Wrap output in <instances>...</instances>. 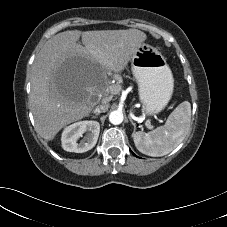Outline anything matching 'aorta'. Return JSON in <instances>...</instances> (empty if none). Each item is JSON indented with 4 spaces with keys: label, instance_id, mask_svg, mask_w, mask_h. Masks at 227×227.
<instances>
[{
    "label": "aorta",
    "instance_id": "obj_1",
    "mask_svg": "<svg viewBox=\"0 0 227 227\" xmlns=\"http://www.w3.org/2000/svg\"><path fill=\"white\" fill-rule=\"evenodd\" d=\"M123 118V113L118 110L112 111L109 115V121L114 125L121 124L123 122Z\"/></svg>",
    "mask_w": 227,
    "mask_h": 227
}]
</instances>
